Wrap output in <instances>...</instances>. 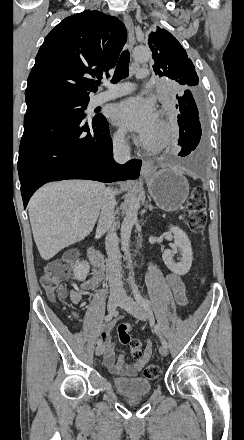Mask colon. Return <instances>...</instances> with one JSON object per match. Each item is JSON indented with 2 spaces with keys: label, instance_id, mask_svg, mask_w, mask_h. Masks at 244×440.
<instances>
[{
  "label": "colon",
  "instance_id": "colon-1",
  "mask_svg": "<svg viewBox=\"0 0 244 440\" xmlns=\"http://www.w3.org/2000/svg\"><path fill=\"white\" fill-rule=\"evenodd\" d=\"M206 199L204 189L196 187L193 189L189 200V207L186 211V223L193 233L201 232L206 224ZM69 257L63 260H55L48 264L45 273L40 278V283L43 289L53 297H63L65 295L63 289V281L67 278L69 273L73 270V261L76 251L69 248L66 251ZM124 329V330H122ZM130 322L119 325L118 338L122 344H128L131 350V356L135 361H140L142 358L143 344L140 340H131L127 335L129 331ZM160 366L152 363L144 368V377L149 381H154L160 374Z\"/></svg>",
  "mask_w": 244,
  "mask_h": 440
}]
</instances>
